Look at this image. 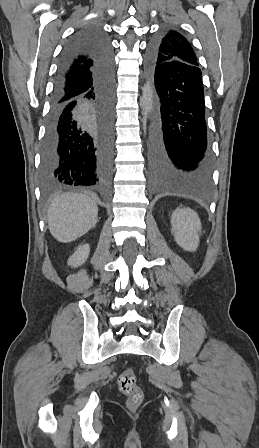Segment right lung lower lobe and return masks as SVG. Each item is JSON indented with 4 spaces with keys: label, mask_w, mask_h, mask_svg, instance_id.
<instances>
[{
    "label": "right lung lower lobe",
    "mask_w": 259,
    "mask_h": 448,
    "mask_svg": "<svg viewBox=\"0 0 259 448\" xmlns=\"http://www.w3.org/2000/svg\"><path fill=\"white\" fill-rule=\"evenodd\" d=\"M91 63L92 84L66 89L65 76L80 59ZM114 64L108 36L98 26L80 29L65 45L41 146L46 185L107 184L114 150Z\"/></svg>",
    "instance_id": "obj_1"
}]
</instances>
